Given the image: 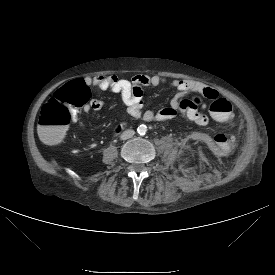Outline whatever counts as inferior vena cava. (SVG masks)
Segmentation results:
<instances>
[{
  "instance_id": "obj_1",
  "label": "inferior vena cava",
  "mask_w": 275,
  "mask_h": 275,
  "mask_svg": "<svg viewBox=\"0 0 275 275\" xmlns=\"http://www.w3.org/2000/svg\"><path fill=\"white\" fill-rule=\"evenodd\" d=\"M134 134H135V132H134V130H132V129L125 130V131L121 134V139H122V140H127V139L131 138Z\"/></svg>"
}]
</instances>
